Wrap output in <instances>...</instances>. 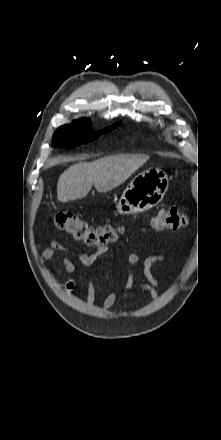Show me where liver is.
Listing matches in <instances>:
<instances>
[{"mask_svg": "<svg viewBox=\"0 0 221 440\" xmlns=\"http://www.w3.org/2000/svg\"><path fill=\"white\" fill-rule=\"evenodd\" d=\"M149 157L118 155L70 166L58 179L57 199L66 203L87 196L92 185L106 193L125 182Z\"/></svg>", "mask_w": 221, "mask_h": 440, "instance_id": "6515ba94", "label": "liver"}]
</instances>
